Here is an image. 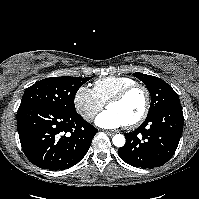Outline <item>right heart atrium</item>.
I'll list each match as a JSON object with an SVG mask.
<instances>
[{
	"label": "right heart atrium",
	"mask_w": 199,
	"mask_h": 199,
	"mask_svg": "<svg viewBox=\"0 0 199 199\" xmlns=\"http://www.w3.org/2000/svg\"><path fill=\"white\" fill-rule=\"evenodd\" d=\"M74 105L78 113L88 122L103 109L104 104L97 98L93 90L83 85L74 95Z\"/></svg>",
	"instance_id": "d8ad5b80"
}]
</instances>
